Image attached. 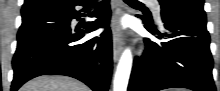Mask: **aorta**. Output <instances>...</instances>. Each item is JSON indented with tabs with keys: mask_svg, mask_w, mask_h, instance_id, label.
Wrapping results in <instances>:
<instances>
[{
	"mask_svg": "<svg viewBox=\"0 0 220 91\" xmlns=\"http://www.w3.org/2000/svg\"><path fill=\"white\" fill-rule=\"evenodd\" d=\"M132 68V53L130 49H126L118 63L115 73L113 91H126Z\"/></svg>",
	"mask_w": 220,
	"mask_h": 91,
	"instance_id": "762f6f07",
	"label": "aorta"
}]
</instances>
